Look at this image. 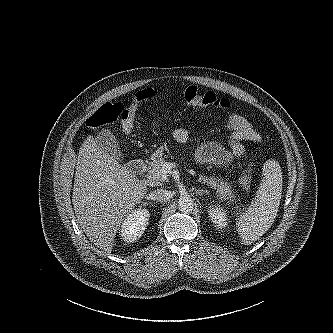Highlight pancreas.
Returning a JSON list of instances; mask_svg holds the SVG:
<instances>
[{
	"label": "pancreas",
	"mask_w": 333,
	"mask_h": 333,
	"mask_svg": "<svg viewBox=\"0 0 333 333\" xmlns=\"http://www.w3.org/2000/svg\"><path fill=\"white\" fill-rule=\"evenodd\" d=\"M168 156L163 153V149H158L150 158V163L147 169L148 177L154 183H163L168 181L167 176L162 175V165L165 163ZM199 182L206 183L208 186L216 190L217 196L221 200L234 199V194L231 189V185L227 181H223L221 178L207 177L200 175Z\"/></svg>",
	"instance_id": "1"
}]
</instances>
